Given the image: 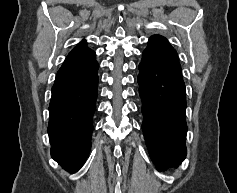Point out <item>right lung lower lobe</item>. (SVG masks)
<instances>
[{"mask_svg":"<svg viewBox=\"0 0 237 193\" xmlns=\"http://www.w3.org/2000/svg\"><path fill=\"white\" fill-rule=\"evenodd\" d=\"M98 68L94 51L72 50L52 88L48 125L51 156L70 173L82 167L90 152Z\"/></svg>","mask_w":237,"mask_h":193,"instance_id":"1","label":"right lung lower lobe"}]
</instances>
